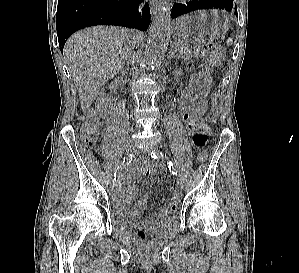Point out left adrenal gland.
<instances>
[{
	"instance_id": "obj_1",
	"label": "left adrenal gland",
	"mask_w": 299,
	"mask_h": 273,
	"mask_svg": "<svg viewBox=\"0 0 299 273\" xmlns=\"http://www.w3.org/2000/svg\"><path fill=\"white\" fill-rule=\"evenodd\" d=\"M176 56H175V54H174V50H173V46L171 47V50H170V52H169V57H168V59H169V62H170V59L171 58H175Z\"/></svg>"
}]
</instances>
